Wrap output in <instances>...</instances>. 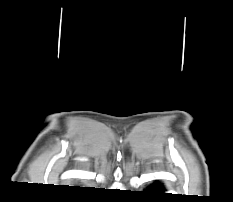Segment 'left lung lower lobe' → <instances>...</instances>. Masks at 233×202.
<instances>
[{
    "label": "left lung lower lobe",
    "instance_id": "obj_1",
    "mask_svg": "<svg viewBox=\"0 0 233 202\" xmlns=\"http://www.w3.org/2000/svg\"><path fill=\"white\" fill-rule=\"evenodd\" d=\"M145 193L149 194L153 198H162V197L166 196L164 194L163 186L159 183H154L153 185H151L149 187V192L145 191Z\"/></svg>",
    "mask_w": 233,
    "mask_h": 202
}]
</instances>
